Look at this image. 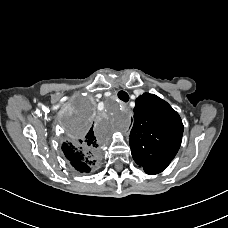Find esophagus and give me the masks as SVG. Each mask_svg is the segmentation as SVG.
I'll return each mask as SVG.
<instances>
[{
    "mask_svg": "<svg viewBox=\"0 0 228 228\" xmlns=\"http://www.w3.org/2000/svg\"><path fill=\"white\" fill-rule=\"evenodd\" d=\"M123 107H125V108H126V107H127V105H126V104H123Z\"/></svg>",
    "mask_w": 228,
    "mask_h": 228,
    "instance_id": "1",
    "label": "esophagus"
}]
</instances>
